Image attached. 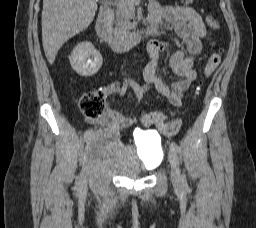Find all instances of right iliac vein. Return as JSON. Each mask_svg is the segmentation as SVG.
<instances>
[{"label":"right iliac vein","mask_w":256,"mask_h":228,"mask_svg":"<svg viewBox=\"0 0 256 228\" xmlns=\"http://www.w3.org/2000/svg\"><path fill=\"white\" fill-rule=\"evenodd\" d=\"M91 140L87 139L86 143L83 144L84 147V151L86 152V154H89V152L91 151ZM81 187L85 186L87 184V182L90 179V174L88 171H83L81 174Z\"/></svg>","instance_id":"right-iliac-vein-1"}]
</instances>
